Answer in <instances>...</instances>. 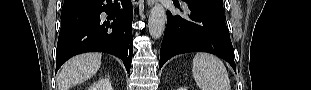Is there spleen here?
<instances>
[{"instance_id":"1","label":"spleen","mask_w":311,"mask_h":90,"mask_svg":"<svg viewBox=\"0 0 311 90\" xmlns=\"http://www.w3.org/2000/svg\"><path fill=\"white\" fill-rule=\"evenodd\" d=\"M192 72L201 90H231L225 65L212 54L197 53L193 58Z\"/></svg>"}]
</instances>
